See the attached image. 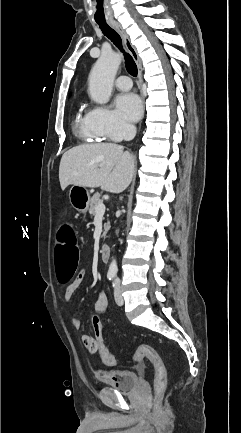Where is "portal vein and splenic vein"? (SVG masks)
<instances>
[{"mask_svg": "<svg viewBox=\"0 0 241 433\" xmlns=\"http://www.w3.org/2000/svg\"><path fill=\"white\" fill-rule=\"evenodd\" d=\"M105 213V205L99 204L96 206V215H103Z\"/></svg>", "mask_w": 241, "mask_h": 433, "instance_id": "18ae733b", "label": "portal vein and splenic vein"}]
</instances>
